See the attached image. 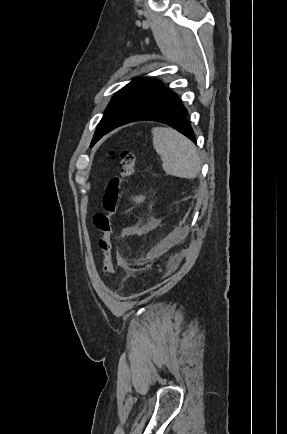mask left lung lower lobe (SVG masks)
<instances>
[{"instance_id": "0a47b994", "label": "left lung lower lobe", "mask_w": 287, "mask_h": 434, "mask_svg": "<svg viewBox=\"0 0 287 434\" xmlns=\"http://www.w3.org/2000/svg\"><path fill=\"white\" fill-rule=\"evenodd\" d=\"M142 120H152L165 123L178 130L192 141H196L194 131L187 121V110L180 103L177 94L172 93L161 101H157L136 112L122 125Z\"/></svg>"}]
</instances>
